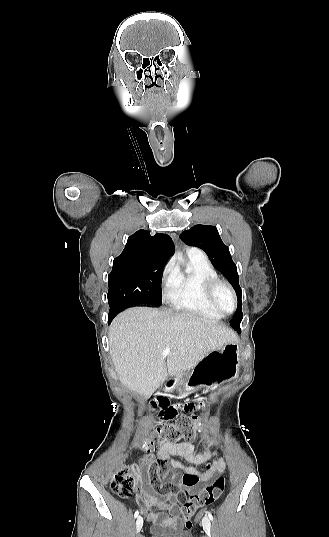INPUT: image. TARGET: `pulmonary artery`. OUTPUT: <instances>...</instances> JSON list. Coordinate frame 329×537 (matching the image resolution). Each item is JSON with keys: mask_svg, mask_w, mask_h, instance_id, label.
Wrapping results in <instances>:
<instances>
[{"mask_svg": "<svg viewBox=\"0 0 329 537\" xmlns=\"http://www.w3.org/2000/svg\"><path fill=\"white\" fill-rule=\"evenodd\" d=\"M189 253L194 255H204V253L198 248H191Z\"/></svg>", "mask_w": 329, "mask_h": 537, "instance_id": "1", "label": "pulmonary artery"}]
</instances>
